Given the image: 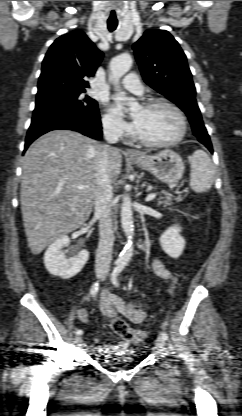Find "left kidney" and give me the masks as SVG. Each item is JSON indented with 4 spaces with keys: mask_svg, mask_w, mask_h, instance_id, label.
<instances>
[{
    "mask_svg": "<svg viewBox=\"0 0 242 416\" xmlns=\"http://www.w3.org/2000/svg\"><path fill=\"white\" fill-rule=\"evenodd\" d=\"M180 232L181 227L173 225L160 237V245L162 249L172 258H178L185 248V239L180 235Z\"/></svg>",
    "mask_w": 242,
    "mask_h": 416,
    "instance_id": "5707ae66",
    "label": "left kidney"
}]
</instances>
